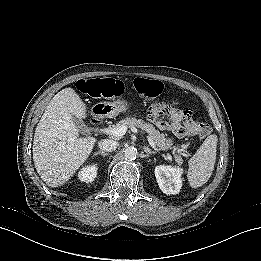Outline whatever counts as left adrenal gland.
Listing matches in <instances>:
<instances>
[{"instance_id": "left-adrenal-gland-1", "label": "left adrenal gland", "mask_w": 261, "mask_h": 261, "mask_svg": "<svg viewBox=\"0 0 261 261\" xmlns=\"http://www.w3.org/2000/svg\"><path fill=\"white\" fill-rule=\"evenodd\" d=\"M144 151L147 153V154H156L157 152L156 151H153L152 149H150L149 147H144Z\"/></svg>"}]
</instances>
